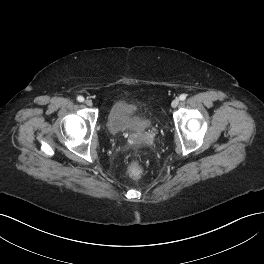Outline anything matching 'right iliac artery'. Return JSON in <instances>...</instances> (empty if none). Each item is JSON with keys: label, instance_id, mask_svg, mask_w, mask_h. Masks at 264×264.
Listing matches in <instances>:
<instances>
[{"label": "right iliac artery", "instance_id": "obj_1", "mask_svg": "<svg viewBox=\"0 0 264 264\" xmlns=\"http://www.w3.org/2000/svg\"><path fill=\"white\" fill-rule=\"evenodd\" d=\"M77 100H78L79 102H83V101H84V97H83V96H78V97H77Z\"/></svg>", "mask_w": 264, "mask_h": 264}]
</instances>
